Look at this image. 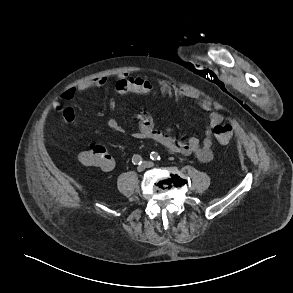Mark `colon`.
<instances>
[{
    "instance_id": "colon-1",
    "label": "colon",
    "mask_w": 293,
    "mask_h": 293,
    "mask_svg": "<svg viewBox=\"0 0 293 293\" xmlns=\"http://www.w3.org/2000/svg\"><path fill=\"white\" fill-rule=\"evenodd\" d=\"M213 131L216 139L221 144H227L233 133L231 125L227 123L215 126ZM111 159L107 148L100 143L90 145L79 156V160L83 165L100 169L108 168L111 164Z\"/></svg>"
}]
</instances>
